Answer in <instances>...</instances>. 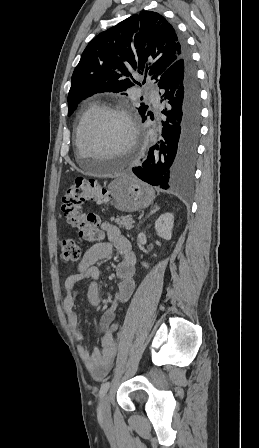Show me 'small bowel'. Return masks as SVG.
<instances>
[{"mask_svg": "<svg viewBox=\"0 0 259 448\" xmlns=\"http://www.w3.org/2000/svg\"><path fill=\"white\" fill-rule=\"evenodd\" d=\"M103 236L106 241H99L93 244L84 253L77 273L66 278L64 286L66 296L63 301V308L66 313L67 322L75 339L79 342L83 340V335L78 328V317L74 311L75 297L78 293L77 283L82 280H90L87 290L88 301L93 306L101 304L100 298V272L96 263L110 256L113 249L120 255V261L116 266L115 275L117 278V293L115 303L107 309L101 316L99 328L103 332L101 340L102 348L89 351L83 346H79V355L91 376L95 380H101L109 372L116 355V342L114 334L118 326L113 322L116 302L127 301L135 290V264L136 257L131 243L114 225L104 223L101 226Z\"/></svg>", "mask_w": 259, "mask_h": 448, "instance_id": "c3829d8e", "label": "small bowel"}]
</instances>
